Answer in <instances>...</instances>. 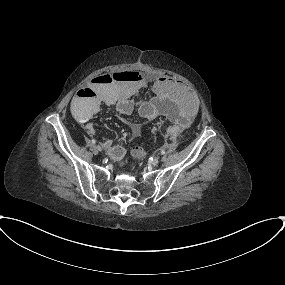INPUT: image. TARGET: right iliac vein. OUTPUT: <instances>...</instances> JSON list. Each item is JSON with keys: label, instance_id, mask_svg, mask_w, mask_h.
<instances>
[{"label": "right iliac vein", "instance_id": "obj_1", "mask_svg": "<svg viewBox=\"0 0 285 285\" xmlns=\"http://www.w3.org/2000/svg\"><path fill=\"white\" fill-rule=\"evenodd\" d=\"M95 149H96L97 152H101L102 151V147L99 144L95 145Z\"/></svg>", "mask_w": 285, "mask_h": 285}]
</instances>
